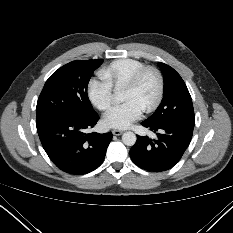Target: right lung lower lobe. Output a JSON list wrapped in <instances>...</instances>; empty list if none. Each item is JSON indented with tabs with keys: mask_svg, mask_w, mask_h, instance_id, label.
Here are the masks:
<instances>
[{
	"mask_svg": "<svg viewBox=\"0 0 233 233\" xmlns=\"http://www.w3.org/2000/svg\"><path fill=\"white\" fill-rule=\"evenodd\" d=\"M98 120L99 115L95 112L80 118L56 117L37 123L42 146L59 169L82 175L102 164L112 133H84L85 129L94 127Z\"/></svg>",
	"mask_w": 233,
	"mask_h": 233,
	"instance_id": "right-lung-lower-lobe-1",
	"label": "right lung lower lobe"
}]
</instances>
